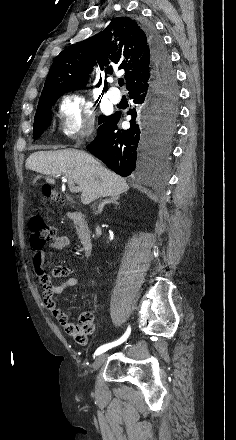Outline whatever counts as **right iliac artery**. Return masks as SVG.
Returning <instances> with one entry per match:
<instances>
[{
    "label": "right iliac artery",
    "mask_w": 236,
    "mask_h": 440,
    "mask_svg": "<svg viewBox=\"0 0 236 440\" xmlns=\"http://www.w3.org/2000/svg\"><path fill=\"white\" fill-rule=\"evenodd\" d=\"M130 332H131V328L128 327V329H127V331L125 332V334H124L119 340H117V341H115V342H112V343H108V344H105V345L100 346V347L95 351V355H100V354L106 352L108 349H110V348H112V347H114V346H117V345L121 344L122 342H124V341L128 338Z\"/></svg>",
    "instance_id": "1"
}]
</instances>
